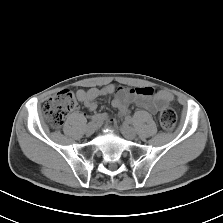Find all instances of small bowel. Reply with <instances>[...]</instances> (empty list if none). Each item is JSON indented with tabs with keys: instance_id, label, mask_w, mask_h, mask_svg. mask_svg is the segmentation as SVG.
Returning <instances> with one entry per match:
<instances>
[{
	"instance_id": "obj_1",
	"label": "small bowel",
	"mask_w": 223,
	"mask_h": 223,
	"mask_svg": "<svg viewBox=\"0 0 223 223\" xmlns=\"http://www.w3.org/2000/svg\"><path fill=\"white\" fill-rule=\"evenodd\" d=\"M114 95L112 105L118 110L117 118L126 116L129 113L130 103H135L140 108L156 113L162 106L171 102L173 96L163 90L153 87H115L110 84L102 88H90L89 90H78L77 99L84 104L89 111L97 108V98L106 95ZM100 121L107 120L106 113L97 114ZM117 118L110 119L115 123Z\"/></svg>"
}]
</instances>
